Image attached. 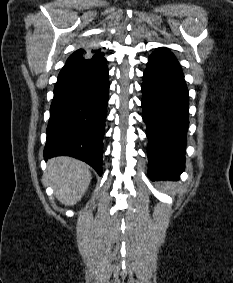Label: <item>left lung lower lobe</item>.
<instances>
[{
    "label": "left lung lower lobe",
    "instance_id": "obj_1",
    "mask_svg": "<svg viewBox=\"0 0 233 283\" xmlns=\"http://www.w3.org/2000/svg\"><path fill=\"white\" fill-rule=\"evenodd\" d=\"M141 89L149 176L177 179L184 171L189 96L182 69L167 48L150 55Z\"/></svg>",
    "mask_w": 233,
    "mask_h": 283
}]
</instances>
